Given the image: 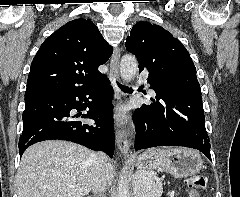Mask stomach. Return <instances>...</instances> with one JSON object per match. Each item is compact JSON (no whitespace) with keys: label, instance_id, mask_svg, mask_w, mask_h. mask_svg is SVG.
I'll use <instances>...</instances> for the list:
<instances>
[{"label":"stomach","instance_id":"1","mask_svg":"<svg viewBox=\"0 0 240 197\" xmlns=\"http://www.w3.org/2000/svg\"><path fill=\"white\" fill-rule=\"evenodd\" d=\"M134 165L142 171L140 174L155 168H162L177 178L188 177L198 173L203 168V160L200 155L187 149H175L163 152V150H148L139 155ZM138 196L144 197L145 185L137 183Z\"/></svg>","mask_w":240,"mask_h":197}]
</instances>
